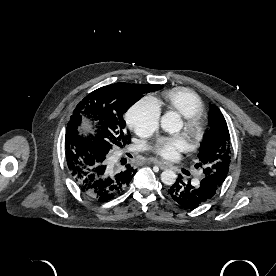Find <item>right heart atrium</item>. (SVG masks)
Instances as JSON below:
<instances>
[{
    "label": "right heart atrium",
    "mask_w": 276,
    "mask_h": 276,
    "mask_svg": "<svg viewBox=\"0 0 276 276\" xmlns=\"http://www.w3.org/2000/svg\"><path fill=\"white\" fill-rule=\"evenodd\" d=\"M160 116L159 105L150 98H143L127 111L126 121L136 134L147 137L158 129Z\"/></svg>",
    "instance_id": "right-heart-atrium-1"
}]
</instances>
